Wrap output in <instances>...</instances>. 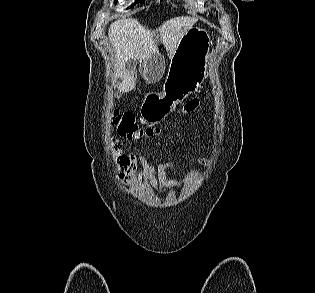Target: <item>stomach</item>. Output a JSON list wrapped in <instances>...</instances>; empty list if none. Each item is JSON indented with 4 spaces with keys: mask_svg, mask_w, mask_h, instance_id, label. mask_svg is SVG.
<instances>
[{
    "mask_svg": "<svg viewBox=\"0 0 315 293\" xmlns=\"http://www.w3.org/2000/svg\"><path fill=\"white\" fill-rule=\"evenodd\" d=\"M212 40L209 33L191 27L179 40L170 58L168 74L161 93H150L141 108L143 119L157 123L204 82L209 65Z\"/></svg>",
    "mask_w": 315,
    "mask_h": 293,
    "instance_id": "stomach-1",
    "label": "stomach"
}]
</instances>
